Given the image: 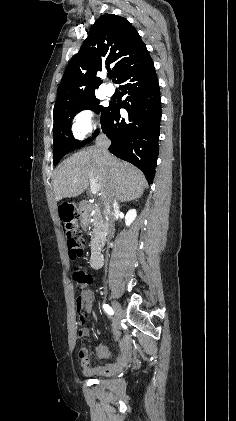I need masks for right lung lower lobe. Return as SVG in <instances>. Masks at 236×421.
<instances>
[{
    "mask_svg": "<svg viewBox=\"0 0 236 421\" xmlns=\"http://www.w3.org/2000/svg\"><path fill=\"white\" fill-rule=\"evenodd\" d=\"M116 83L121 84L120 89L126 99L122 104L111 102L101 121L103 132L112 141L109 151L141 169L148 183H152L158 157L161 101L157 75L149 54L125 69ZM121 107L127 110V118L120 116ZM98 133L99 130L93 137Z\"/></svg>",
    "mask_w": 236,
    "mask_h": 421,
    "instance_id": "98d812e1",
    "label": "right lung lower lobe"
}]
</instances>
